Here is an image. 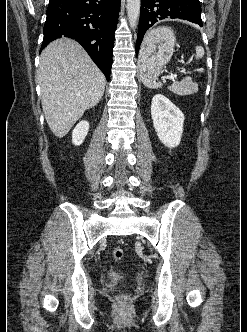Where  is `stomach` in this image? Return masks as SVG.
I'll return each instance as SVG.
<instances>
[{
  "mask_svg": "<svg viewBox=\"0 0 247 332\" xmlns=\"http://www.w3.org/2000/svg\"><path fill=\"white\" fill-rule=\"evenodd\" d=\"M176 37L171 28L158 27L144 38L138 55V66L142 78L156 79L170 61Z\"/></svg>",
  "mask_w": 247,
  "mask_h": 332,
  "instance_id": "0dacf381",
  "label": "stomach"
}]
</instances>
